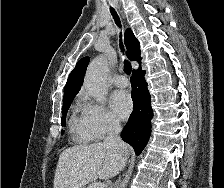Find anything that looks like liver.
<instances>
[{"label": "liver", "mask_w": 224, "mask_h": 188, "mask_svg": "<svg viewBox=\"0 0 224 188\" xmlns=\"http://www.w3.org/2000/svg\"><path fill=\"white\" fill-rule=\"evenodd\" d=\"M130 148L120 149L104 143L77 145L59 156L54 188H83L87 183L115 177L128 161Z\"/></svg>", "instance_id": "1"}]
</instances>
